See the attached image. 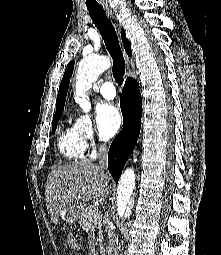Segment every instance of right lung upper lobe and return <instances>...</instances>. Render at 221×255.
Here are the masks:
<instances>
[{
    "instance_id": "1",
    "label": "right lung upper lobe",
    "mask_w": 221,
    "mask_h": 255,
    "mask_svg": "<svg viewBox=\"0 0 221 255\" xmlns=\"http://www.w3.org/2000/svg\"><path fill=\"white\" fill-rule=\"evenodd\" d=\"M121 36H122V42H123L124 48L126 50V53L130 56L131 55V44H130V41L125 36L124 29H121ZM73 69H74V61H71L66 67L63 79L59 86L57 103H56V112L63 111V109H64L67 90L69 87L70 78L72 76Z\"/></svg>"
}]
</instances>
